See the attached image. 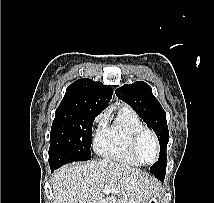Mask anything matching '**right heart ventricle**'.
Listing matches in <instances>:
<instances>
[{
  "label": "right heart ventricle",
  "mask_w": 214,
  "mask_h": 203,
  "mask_svg": "<svg viewBox=\"0 0 214 203\" xmlns=\"http://www.w3.org/2000/svg\"><path fill=\"white\" fill-rule=\"evenodd\" d=\"M144 128L139 116L128 106H121L116 114L106 117L99 127L94 148L107 159L131 166H143L131 151V140L134 133Z\"/></svg>",
  "instance_id": "right-heart-ventricle-1"
}]
</instances>
